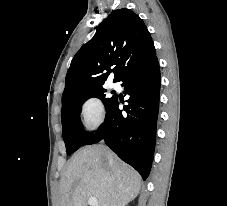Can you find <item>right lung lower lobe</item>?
<instances>
[{"mask_svg": "<svg viewBox=\"0 0 227 206\" xmlns=\"http://www.w3.org/2000/svg\"><path fill=\"white\" fill-rule=\"evenodd\" d=\"M130 97L118 109V99L106 108L105 124L91 136L86 145L104 140L123 161L133 166L145 180L150 172L155 147L159 108L160 69L155 56L146 64L130 69L121 79Z\"/></svg>", "mask_w": 227, "mask_h": 206, "instance_id": "1", "label": "right lung lower lobe"}]
</instances>
